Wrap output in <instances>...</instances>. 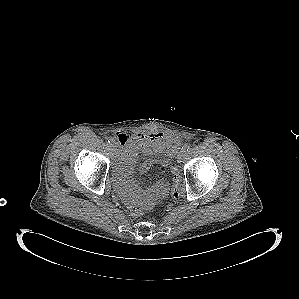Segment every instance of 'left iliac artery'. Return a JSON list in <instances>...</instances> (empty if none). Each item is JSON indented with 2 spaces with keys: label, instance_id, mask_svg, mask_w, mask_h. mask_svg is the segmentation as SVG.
<instances>
[{
  "label": "left iliac artery",
  "instance_id": "obj_1",
  "mask_svg": "<svg viewBox=\"0 0 299 299\" xmlns=\"http://www.w3.org/2000/svg\"><path fill=\"white\" fill-rule=\"evenodd\" d=\"M189 149H190V146L187 144L182 147V151H184V152L188 151Z\"/></svg>",
  "mask_w": 299,
  "mask_h": 299
}]
</instances>
